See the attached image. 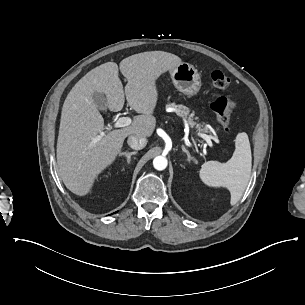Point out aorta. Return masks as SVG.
<instances>
[{"mask_svg":"<svg viewBox=\"0 0 305 305\" xmlns=\"http://www.w3.org/2000/svg\"><path fill=\"white\" fill-rule=\"evenodd\" d=\"M168 165L167 158L164 156H157L153 160V166L156 170H164Z\"/></svg>","mask_w":305,"mask_h":305,"instance_id":"aorta-1","label":"aorta"}]
</instances>
